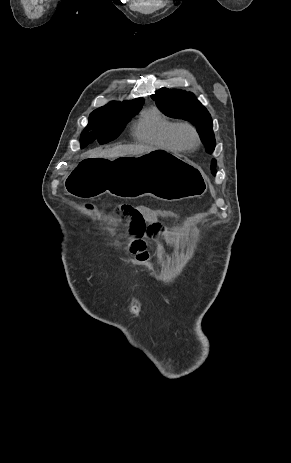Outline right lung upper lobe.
Wrapping results in <instances>:
<instances>
[{
  "mask_svg": "<svg viewBox=\"0 0 291 463\" xmlns=\"http://www.w3.org/2000/svg\"><path fill=\"white\" fill-rule=\"evenodd\" d=\"M140 103H143V98H137L132 101H123V102L113 101L98 109H126L128 107L135 106Z\"/></svg>",
  "mask_w": 291,
  "mask_h": 463,
  "instance_id": "right-lung-upper-lobe-1",
  "label": "right lung upper lobe"
}]
</instances>
